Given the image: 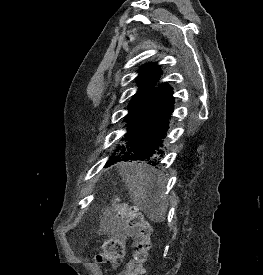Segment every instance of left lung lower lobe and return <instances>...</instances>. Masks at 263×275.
Instances as JSON below:
<instances>
[{
	"label": "left lung lower lobe",
	"mask_w": 263,
	"mask_h": 275,
	"mask_svg": "<svg viewBox=\"0 0 263 275\" xmlns=\"http://www.w3.org/2000/svg\"><path fill=\"white\" fill-rule=\"evenodd\" d=\"M173 90L167 83L152 89L126 120L125 146H117L106 166L118 161L157 165L163 157L162 142L174 110ZM148 164V165H147Z\"/></svg>",
	"instance_id": "left-lung-lower-lobe-1"
}]
</instances>
